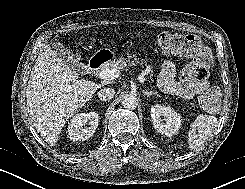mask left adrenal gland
Returning <instances> with one entry per match:
<instances>
[{
    "mask_svg": "<svg viewBox=\"0 0 245 189\" xmlns=\"http://www.w3.org/2000/svg\"><path fill=\"white\" fill-rule=\"evenodd\" d=\"M143 93L145 96L150 97L151 95H156V96H160L156 91H147V90H143Z\"/></svg>",
    "mask_w": 245,
    "mask_h": 189,
    "instance_id": "1",
    "label": "left adrenal gland"
}]
</instances>
